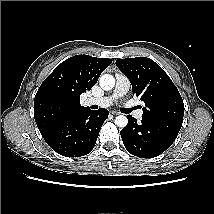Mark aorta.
<instances>
[{"mask_svg":"<svg viewBox=\"0 0 214 214\" xmlns=\"http://www.w3.org/2000/svg\"><path fill=\"white\" fill-rule=\"evenodd\" d=\"M99 85L103 90L109 91L115 86V78L110 74H104L99 78ZM115 124L118 127L124 128L128 124V119L124 115H119L115 118Z\"/></svg>","mask_w":214,"mask_h":214,"instance_id":"1","label":"aorta"}]
</instances>
